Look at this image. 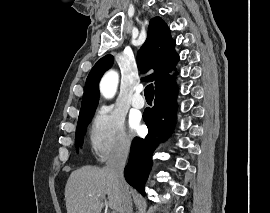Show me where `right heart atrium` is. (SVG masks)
I'll list each match as a JSON object with an SVG mask.
<instances>
[{
	"label": "right heart atrium",
	"mask_w": 270,
	"mask_h": 213,
	"mask_svg": "<svg viewBox=\"0 0 270 213\" xmlns=\"http://www.w3.org/2000/svg\"><path fill=\"white\" fill-rule=\"evenodd\" d=\"M89 142L100 161L128 154L131 142L125 131L123 115L112 106L99 107L91 120Z\"/></svg>",
	"instance_id": "d8ad5b80"
}]
</instances>
